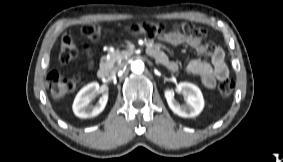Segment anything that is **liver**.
<instances>
[{
	"label": "liver",
	"instance_id": "1",
	"mask_svg": "<svg viewBox=\"0 0 283 162\" xmlns=\"http://www.w3.org/2000/svg\"><path fill=\"white\" fill-rule=\"evenodd\" d=\"M46 87H48V82L45 83Z\"/></svg>",
	"mask_w": 283,
	"mask_h": 162
}]
</instances>
